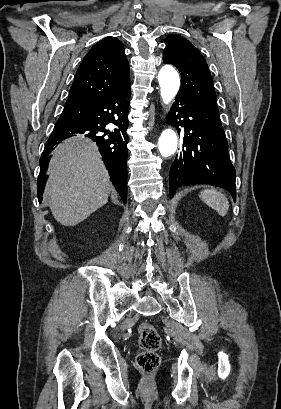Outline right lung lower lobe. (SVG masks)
<instances>
[{
  "mask_svg": "<svg viewBox=\"0 0 281 409\" xmlns=\"http://www.w3.org/2000/svg\"><path fill=\"white\" fill-rule=\"evenodd\" d=\"M130 85L103 98L89 101L66 103L61 117L72 121H59L47 141L40 158V174L37 182L38 198L41 202L47 171V156L54 146L74 134H85L96 142L109 170L111 181L122 200H127V143L126 130L130 102ZM113 125V126H111Z\"/></svg>",
  "mask_w": 281,
  "mask_h": 409,
  "instance_id": "right-lung-lower-lobe-1",
  "label": "right lung lower lobe"
}]
</instances>
